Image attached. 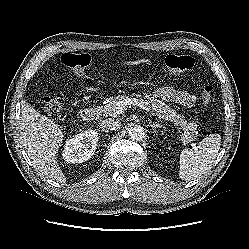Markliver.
Wrapping results in <instances>:
<instances>
[{
  "mask_svg": "<svg viewBox=\"0 0 249 249\" xmlns=\"http://www.w3.org/2000/svg\"><path fill=\"white\" fill-rule=\"evenodd\" d=\"M19 134L24 148L42 176L65 182V175L57 164V152L63 141L58 125L37 112L26 101L21 103Z\"/></svg>",
  "mask_w": 249,
  "mask_h": 249,
  "instance_id": "6515ba94",
  "label": "liver"
}]
</instances>
